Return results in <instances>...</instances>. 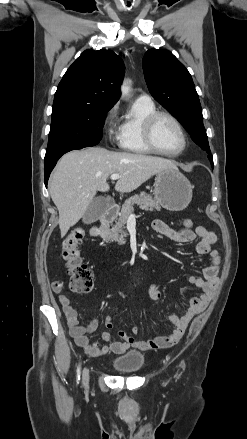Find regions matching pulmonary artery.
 <instances>
[{
    "label": "pulmonary artery",
    "mask_w": 247,
    "mask_h": 439,
    "mask_svg": "<svg viewBox=\"0 0 247 439\" xmlns=\"http://www.w3.org/2000/svg\"><path fill=\"white\" fill-rule=\"evenodd\" d=\"M137 100H141V101H151V98L146 95V94H141L138 96Z\"/></svg>",
    "instance_id": "1"
}]
</instances>
